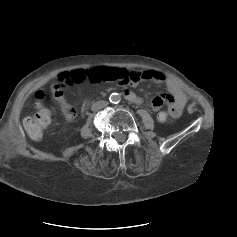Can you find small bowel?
Wrapping results in <instances>:
<instances>
[{"mask_svg":"<svg viewBox=\"0 0 237 237\" xmlns=\"http://www.w3.org/2000/svg\"><path fill=\"white\" fill-rule=\"evenodd\" d=\"M138 76V80H150L156 84L165 83L168 89V93H162L155 96L151 101V109L154 112H158L161 107L166 104L168 106V111L173 117H179L186 105V97L179 89V87L172 80H167L166 77L154 70H144L135 72ZM60 103L65 106V101L62 96H57ZM130 100H135L134 94L129 95ZM66 119L70 120L74 117L73 114H69L65 111Z\"/></svg>","mask_w":237,"mask_h":237,"instance_id":"obj_1","label":"small bowel"}]
</instances>
